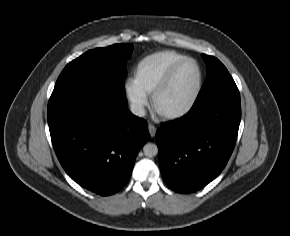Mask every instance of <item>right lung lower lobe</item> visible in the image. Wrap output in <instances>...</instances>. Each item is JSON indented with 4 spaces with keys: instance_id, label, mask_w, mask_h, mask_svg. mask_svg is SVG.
I'll list each match as a JSON object with an SVG mask.
<instances>
[{
    "instance_id": "right-lung-lower-lobe-1",
    "label": "right lung lower lobe",
    "mask_w": 290,
    "mask_h": 236,
    "mask_svg": "<svg viewBox=\"0 0 290 236\" xmlns=\"http://www.w3.org/2000/svg\"><path fill=\"white\" fill-rule=\"evenodd\" d=\"M47 118L64 170L80 186L103 196L127 183L149 139L146 121L131 114L124 95L51 97Z\"/></svg>"
}]
</instances>
